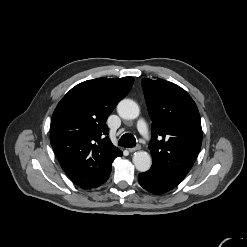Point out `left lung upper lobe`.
Segmentation results:
<instances>
[{
	"label": "left lung upper lobe",
	"instance_id": "obj_1",
	"mask_svg": "<svg viewBox=\"0 0 247 247\" xmlns=\"http://www.w3.org/2000/svg\"><path fill=\"white\" fill-rule=\"evenodd\" d=\"M142 88L153 122L149 144L152 167L181 182L202 144L198 108L190 95L174 83L144 78Z\"/></svg>",
	"mask_w": 247,
	"mask_h": 247
}]
</instances>
